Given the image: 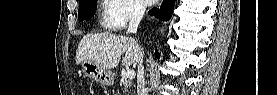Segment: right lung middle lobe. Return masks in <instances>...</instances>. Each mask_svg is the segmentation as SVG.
Here are the masks:
<instances>
[{"instance_id": "1", "label": "right lung middle lobe", "mask_w": 277, "mask_h": 95, "mask_svg": "<svg viewBox=\"0 0 277 95\" xmlns=\"http://www.w3.org/2000/svg\"><path fill=\"white\" fill-rule=\"evenodd\" d=\"M97 0H82L79 3L78 19L83 21L92 17L96 11Z\"/></svg>"}]
</instances>
